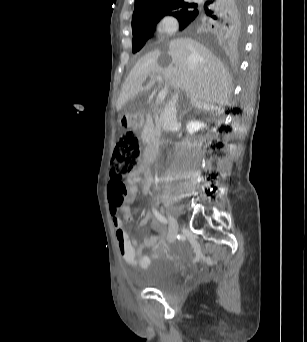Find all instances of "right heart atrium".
Wrapping results in <instances>:
<instances>
[{
    "mask_svg": "<svg viewBox=\"0 0 307 342\" xmlns=\"http://www.w3.org/2000/svg\"><path fill=\"white\" fill-rule=\"evenodd\" d=\"M179 29L178 20L171 15H161L152 24L149 34L154 39H166L174 35Z\"/></svg>",
    "mask_w": 307,
    "mask_h": 342,
    "instance_id": "d8ad5b80",
    "label": "right heart atrium"
}]
</instances>
